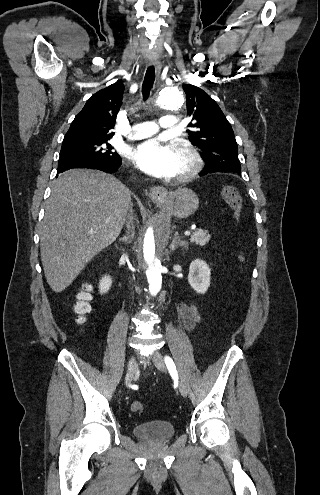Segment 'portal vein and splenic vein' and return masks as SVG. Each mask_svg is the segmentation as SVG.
I'll return each instance as SVG.
<instances>
[{
  "instance_id": "portal-vein-and-splenic-vein-1",
  "label": "portal vein and splenic vein",
  "mask_w": 320,
  "mask_h": 495,
  "mask_svg": "<svg viewBox=\"0 0 320 495\" xmlns=\"http://www.w3.org/2000/svg\"><path fill=\"white\" fill-rule=\"evenodd\" d=\"M184 234H185V235H190V234H191V232H190V231H185V232H184Z\"/></svg>"
}]
</instances>
